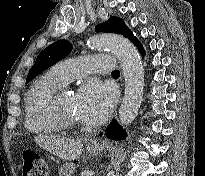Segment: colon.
<instances>
[{
    "instance_id": "1",
    "label": "colon",
    "mask_w": 205,
    "mask_h": 176,
    "mask_svg": "<svg viewBox=\"0 0 205 176\" xmlns=\"http://www.w3.org/2000/svg\"><path fill=\"white\" fill-rule=\"evenodd\" d=\"M48 167L45 159L28 155L22 165V176H47Z\"/></svg>"
}]
</instances>
